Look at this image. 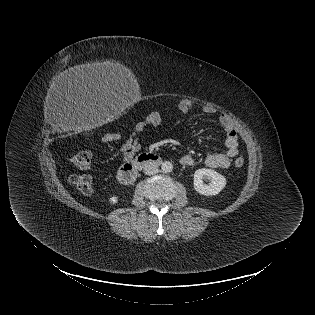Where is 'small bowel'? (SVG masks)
Returning <instances> with one entry per match:
<instances>
[{"instance_id": "1", "label": "small bowel", "mask_w": 315, "mask_h": 315, "mask_svg": "<svg viewBox=\"0 0 315 315\" xmlns=\"http://www.w3.org/2000/svg\"><path fill=\"white\" fill-rule=\"evenodd\" d=\"M178 109L181 113L187 114L195 110L194 104L187 99L179 102ZM202 112L205 114H215L217 111L212 106H204ZM163 120V113L160 111H153L148 114L144 120L139 121L134 131L128 140L121 146L120 152L124 160H130L140 149L141 143L139 136L147 132L150 128L157 127ZM219 123L226 132V152L210 154L205 159V164L210 168L226 169L231 164V159L236 157L239 153L238 136L232 120L227 114L219 115ZM183 165H192L195 159L190 155H185L180 159Z\"/></svg>"}]
</instances>
